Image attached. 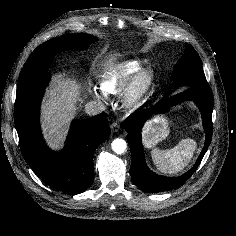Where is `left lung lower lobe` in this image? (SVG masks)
I'll return each mask as SVG.
<instances>
[{
    "instance_id": "obj_1",
    "label": "left lung lower lobe",
    "mask_w": 236,
    "mask_h": 236,
    "mask_svg": "<svg viewBox=\"0 0 236 236\" xmlns=\"http://www.w3.org/2000/svg\"><path fill=\"white\" fill-rule=\"evenodd\" d=\"M185 100H193L202 112L203 126L206 133L205 145L194 166L179 177H164L151 172L146 166L143 146L141 142V129L144 122L153 113H163L170 105L178 104ZM213 94L209 84L187 87L183 92L173 95L157 105L132 114L124 122V128L128 132L127 140L132 155L130 174L134 184L143 192L154 193L180 188L196 171L201 163L212 139Z\"/></svg>"
}]
</instances>
